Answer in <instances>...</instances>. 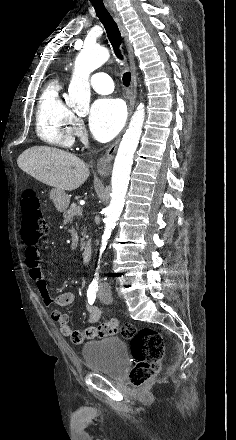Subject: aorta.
I'll use <instances>...</instances> for the list:
<instances>
[{"instance_id":"obj_1","label":"aorta","mask_w":236,"mask_h":440,"mask_svg":"<svg viewBox=\"0 0 236 440\" xmlns=\"http://www.w3.org/2000/svg\"><path fill=\"white\" fill-rule=\"evenodd\" d=\"M110 57L109 50L100 46H84L78 54L68 88L66 104L76 111L85 112L89 108L91 89L90 74L102 66ZM145 119L143 104L133 114L114 161L111 185V201L105 211V228L102 235L100 257L106 249L112 230L116 226L124 207L134 153L139 144Z\"/></svg>"}]
</instances>
